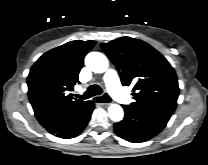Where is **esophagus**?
Segmentation results:
<instances>
[{
    "mask_svg": "<svg viewBox=\"0 0 208 165\" xmlns=\"http://www.w3.org/2000/svg\"><path fill=\"white\" fill-rule=\"evenodd\" d=\"M97 97H99V96H96V97H94V101L95 102H97V100H99L100 98H97ZM110 101H111V99H110ZM99 102L101 105H109V104H111V102Z\"/></svg>",
    "mask_w": 208,
    "mask_h": 165,
    "instance_id": "obj_1",
    "label": "esophagus"
}]
</instances>
